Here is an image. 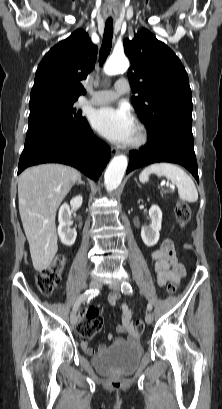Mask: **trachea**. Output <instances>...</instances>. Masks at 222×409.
<instances>
[{"mask_svg":"<svg viewBox=\"0 0 222 409\" xmlns=\"http://www.w3.org/2000/svg\"><path fill=\"white\" fill-rule=\"evenodd\" d=\"M112 38H113V21H106L103 41L99 53L100 64H103L106 58L108 57L111 47H112Z\"/></svg>","mask_w":222,"mask_h":409,"instance_id":"obj_1","label":"trachea"}]
</instances>
